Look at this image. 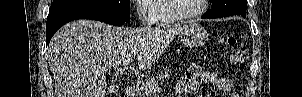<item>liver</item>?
Here are the masks:
<instances>
[{"mask_svg": "<svg viewBox=\"0 0 302 97\" xmlns=\"http://www.w3.org/2000/svg\"><path fill=\"white\" fill-rule=\"evenodd\" d=\"M185 27H112L93 20L67 23L47 49L56 97H105L107 70L132 57H137L140 69L151 68Z\"/></svg>", "mask_w": 302, "mask_h": 97, "instance_id": "1", "label": "liver"}]
</instances>
